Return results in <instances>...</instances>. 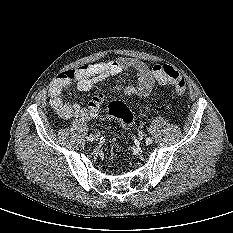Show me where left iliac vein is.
<instances>
[{
	"label": "left iliac vein",
	"instance_id": "left-iliac-vein-1",
	"mask_svg": "<svg viewBox=\"0 0 233 233\" xmlns=\"http://www.w3.org/2000/svg\"><path fill=\"white\" fill-rule=\"evenodd\" d=\"M145 138H146V134L144 132H141L140 134L136 136V139L138 141L144 140Z\"/></svg>",
	"mask_w": 233,
	"mask_h": 233
}]
</instances>
